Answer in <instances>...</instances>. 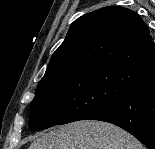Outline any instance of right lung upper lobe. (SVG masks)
Returning a JSON list of instances; mask_svg holds the SVG:
<instances>
[{"instance_id": "obj_1", "label": "right lung upper lobe", "mask_w": 155, "mask_h": 149, "mask_svg": "<svg viewBox=\"0 0 155 149\" xmlns=\"http://www.w3.org/2000/svg\"><path fill=\"white\" fill-rule=\"evenodd\" d=\"M101 68H126L146 78L155 75L149 29L133 11L107 6L75 20L40 82Z\"/></svg>"}]
</instances>
